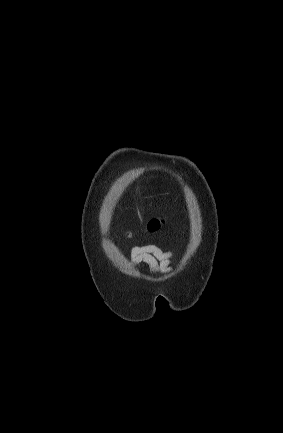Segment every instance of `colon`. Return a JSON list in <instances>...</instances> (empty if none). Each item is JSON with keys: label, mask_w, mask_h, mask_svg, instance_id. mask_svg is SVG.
I'll return each instance as SVG.
<instances>
[{"label": "colon", "mask_w": 283, "mask_h": 433, "mask_svg": "<svg viewBox=\"0 0 283 433\" xmlns=\"http://www.w3.org/2000/svg\"><path fill=\"white\" fill-rule=\"evenodd\" d=\"M159 227H160V221L157 220V219H154V220L150 221L149 224H148V229H149L150 231H155V230H157Z\"/></svg>", "instance_id": "1"}]
</instances>
